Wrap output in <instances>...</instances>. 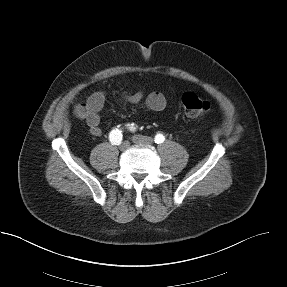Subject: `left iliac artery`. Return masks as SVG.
<instances>
[{
    "instance_id": "44dca946",
    "label": "left iliac artery",
    "mask_w": 287,
    "mask_h": 287,
    "mask_svg": "<svg viewBox=\"0 0 287 287\" xmlns=\"http://www.w3.org/2000/svg\"><path fill=\"white\" fill-rule=\"evenodd\" d=\"M131 125H133V124H131ZM130 128H131V130L134 129L133 127H130ZM154 141L157 144H161L165 141V136L163 134H157L154 138Z\"/></svg>"
}]
</instances>
